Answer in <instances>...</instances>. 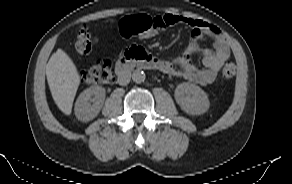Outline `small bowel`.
<instances>
[{"label":"small bowel","mask_w":292,"mask_h":184,"mask_svg":"<svg viewBox=\"0 0 292 184\" xmlns=\"http://www.w3.org/2000/svg\"><path fill=\"white\" fill-rule=\"evenodd\" d=\"M161 29L182 24L191 29L188 46L175 62H166L165 72L182 77L190 82L207 85L212 83L222 66L230 59V48L223 33L216 26L205 21L178 14H165L155 17ZM203 36L213 39V48L204 49L199 41ZM200 54L203 67H197L191 62V56ZM178 66L179 69H176Z\"/></svg>","instance_id":"small-bowel-1"}]
</instances>
